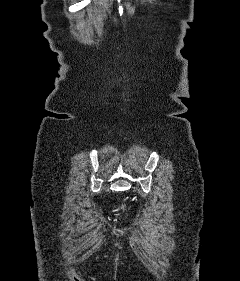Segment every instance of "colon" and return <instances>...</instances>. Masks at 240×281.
Segmentation results:
<instances>
[{"label": "colon", "mask_w": 240, "mask_h": 281, "mask_svg": "<svg viewBox=\"0 0 240 281\" xmlns=\"http://www.w3.org/2000/svg\"><path fill=\"white\" fill-rule=\"evenodd\" d=\"M126 208V205H123V209H125Z\"/></svg>", "instance_id": "colon-1"}]
</instances>
